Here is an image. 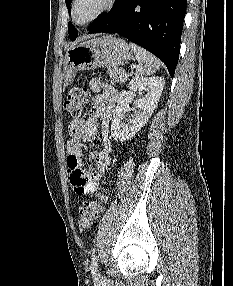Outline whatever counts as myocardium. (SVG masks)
Returning <instances> with one entry per match:
<instances>
[{
    "label": "myocardium",
    "mask_w": 233,
    "mask_h": 286,
    "mask_svg": "<svg viewBox=\"0 0 233 286\" xmlns=\"http://www.w3.org/2000/svg\"><path fill=\"white\" fill-rule=\"evenodd\" d=\"M78 1L79 0L72 1L71 11H70L71 20L77 26H85V25L92 23L93 21L101 17L103 14L111 10L116 3V0H106L104 6L95 15H93L92 17H90L89 19L83 22H77L75 18V9H76V5Z\"/></svg>",
    "instance_id": "1"
}]
</instances>
